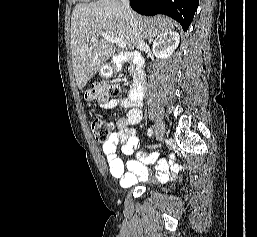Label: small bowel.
<instances>
[{
  "label": "small bowel",
  "instance_id": "small-bowel-1",
  "mask_svg": "<svg viewBox=\"0 0 257 237\" xmlns=\"http://www.w3.org/2000/svg\"><path fill=\"white\" fill-rule=\"evenodd\" d=\"M104 107L127 109L125 117L116 121L118 131L114 132L110 139L102 145L108 170L113 177L119 179L121 186L131 187L138 181H145L148 178V168L144 162L156 163L155 176L160 181H167L179 172L180 168L177 164L170 165L166 159L159 158L156 154L148 157L140 151V142L132 126L138 124L142 119L141 101H132L130 98L119 96L105 103ZM118 147L124 155L136 152L137 160H129L124 163L117 154Z\"/></svg>",
  "mask_w": 257,
  "mask_h": 237
}]
</instances>
